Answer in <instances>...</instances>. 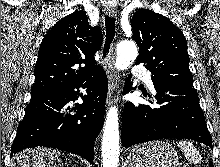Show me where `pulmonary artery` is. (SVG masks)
Listing matches in <instances>:
<instances>
[{"mask_svg": "<svg viewBox=\"0 0 220 167\" xmlns=\"http://www.w3.org/2000/svg\"><path fill=\"white\" fill-rule=\"evenodd\" d=\"M132 74L134 76L140 77L150 90H154V84L145 68L139 65L134 66L132 69Z\"/></svg>", "mask_w": 220, "mask_h": 167, "instance_id": "pulmonary-artery-1", "label": "pulmonary artery"}]
</instances>
